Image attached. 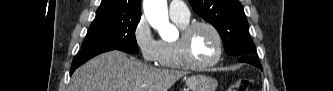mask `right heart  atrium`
<instances>
[{
	"mask_svg": "<svg viewBox=\"0 0 333 91\" xmlns=\"http://www.w3.org/2000/svg\"><path fill=\"white\" fill-rule=\"evenodd\" d=\"M132 37L142 58L149 63L158 62L160 41L157 40L144 16L133 27Z\"/></svg>",
	"mask_w": 333,
	"mask_h": 91,
	"instance_id": "right-heart-atrium-1",
	"label": "right heart atrium"
}]
</instances>
